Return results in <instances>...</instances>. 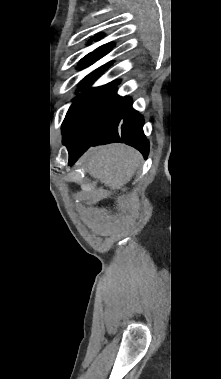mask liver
I'll return each mask as SVG.
<instances>
[{
  "label": "liver",
  "instance_id": "liver-1",
  "mask_svg": "<svg viewBox=\"0 0 221 379\" xmlns=\"http://www.w3.org/2000/svg\"><path fill=\"white\" fill-rule=\"evenodd\" d=\"M141 155L124 144L90 148L81 158L87 172L112 190H119L134 175Z\"/></svg>",
  "mask_w": 221,
  "mask_h": 379
}]
</instances>
